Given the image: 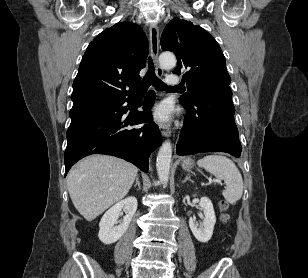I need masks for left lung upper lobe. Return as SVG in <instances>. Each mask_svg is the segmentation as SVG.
Segmentation results:
<instances>
[{"label": "left lung upper lobe", "instance_id": "left-lung-upper-lobe-1", "mask_svg": "<svg viewBox=\"0 0 308 278\" xmlns=\"http://www.w3.org/2000/svg\"><path fill=\"white\" fill-rule=\"evenodd\" d=\"M161 47L177 57L175 74L184 72L187 93L181 104H192L203 93L229 86L231 78L225 57L216 40L203 28L179 18L170 21L161 36Z\"/></svg>", "mask_w": 308, "mask_h": 278}]
</instances>
